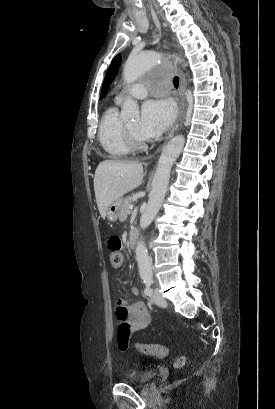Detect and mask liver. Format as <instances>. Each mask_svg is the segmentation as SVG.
Segmentation results:
<instances>
[{
    "mask_svg": "<svg viewBox=\"0 0 275 409\" xmlns=\"http://www.w3.org/2000/svg\"><path fill=\"white\" fill-rule=\"evenodd\" d=\"M143 180L142 162L125 160H103L98 164L94 176V190L97 207L102 219L113 200L139 186Z\"/></svg>",
    "mask_w": 275,
    "mask_h": 409,
    "instance_id": "obj_1",
    "label": "liver"
}]
</instances>
